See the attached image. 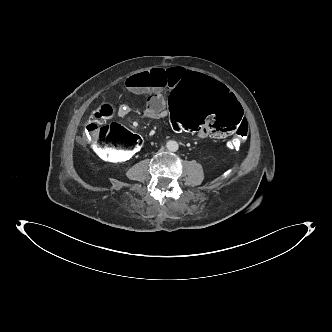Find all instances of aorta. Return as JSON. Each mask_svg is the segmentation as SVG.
Instances as JSON below:
<instances>
[{
  "instance_id": "1",
  "label": "aorta",
  "mask_w": 332,
  "mask_h": 332,
  "mask_svg": "<svg viewBox=\"0 0 332 332\" xmlns=\"http://www.w3.org/2000/svg\"><path fill=\"white\" fill-rule=\"evenodd\" d=\"M166 147L169 151L175 152L178 150V143L174 140H169L166 144Z\"/></svg>"
}]
</instances>
